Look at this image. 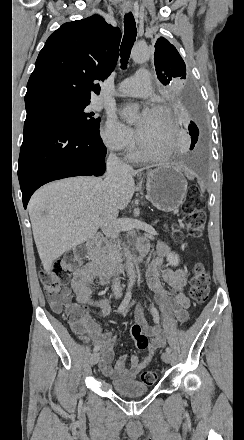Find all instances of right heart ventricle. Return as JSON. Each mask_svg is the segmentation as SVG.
Returning a JSON list of instances; mask_svg holds the SVG:
<instances>
[{
    "label": "right heart ventricle",
    "instance_id": "1",
    "mask_svg": "<svg viewBox=\"0 0 244 440\" xmlns=\"http://www.w3.org/2000/svg\"><path fill=\"white\" fill-rule=\"evenodd\" d=\"M129 158L132 160H143L146 158V154L142 150H138L129 155Z\"/></svg>",
    "mask_w": 244,
    "mask_h": 440
}]
</instances>
